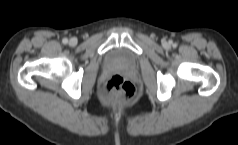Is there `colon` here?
Segmentation results:
<instances>
[{
	"instance_id": "5ec220e1",
	"label": "colon",
	"mask_w": 238,
	"mask_h": 145,
	"mask_svg": "<svg viewBox=\"0 0 238 145\" xmlns=\"http://www.w3.org/2000/svg\"><path fill=\"white\" fill-rule=\"evenodd\" d=\"M104 95L112 102L124 103L134 97L135 87L124 77L113 75L105 83Z\"/></svg>"
}]
</instances>
